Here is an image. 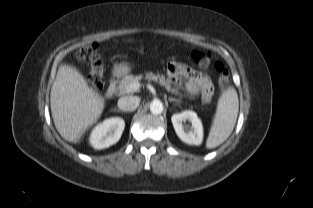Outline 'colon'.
<instances>
[{
  "instance_id": "1",
  "label": "colon",
  "mask_w": 313,
  "mask_h": 208,
  "mask_svg": "<svg viewBox=\"0 0 313 208\" xmlns=\"http://www.w3.org/2000/svg\"><path fill=\"white\" fill-rule=\"evenodd\" d=\"M78 56L81 59L90 63L91 66L90 80L92 84L96 88H102V86L104 85L103 69L100 56L98 53V45L96 43H92L81 48L78 52ZM191 57L193 61L200 66H206L209 64L210 61L209 56L207 54L197 50L191 53ZM214 66L218 73L219 85L221 87L226 86L230 82L228 70L219 61H216Z\"/></svg>"
}]
</instances>
